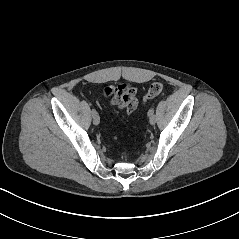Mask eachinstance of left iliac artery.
<instances>
[{
	"label": "left iliac artery",
	"mask_w": 239,
	"mask_h": 239,
	"mask_svg": "<svg viewBox=\"0 0 239 239\" xmlns=\"http://www.w3.org/2000/svg\"><path fill=\"white\" fill-rule=\"evenodd\" d=\"M154 114V108H150L148 111V116H152Z\"/></svg>",
	"instance_id": "obj_1"
}]
</instances>
